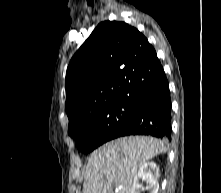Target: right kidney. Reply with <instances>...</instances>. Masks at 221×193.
Here are the masks:
<instances>
[{
  "mask_svg": "<svg viewBox=\"0 0 221 193\" xmlns=\"http://www.w3.org/2000/svg\"><path fill=\"white\" fill-rule=\"evenodd\" d=\"M160 176L159 167L154 162L144 163L135 175L131 187L130 193H141L143 190L149 191V193H158L159 183L158 178ZM147 183L146 188L143 187L142 182Z\"/></svg>",
  "mask_w": 221,
  "mask_h": 193,
  "instance_id": "right-kidney-1",
  "label": "right kidney"
}]
</instances>
